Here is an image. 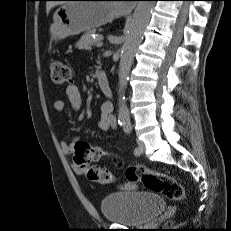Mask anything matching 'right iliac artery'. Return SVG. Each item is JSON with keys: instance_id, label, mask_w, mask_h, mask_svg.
Instances as JSON below:
<instances>
[{"instance_id": "82829eb1", "label": "right iliac artery", "mask_w": 231, "mask_h": 231, "mask_svg": "<svg viewBox=\"0 0 231 231\" xmlns=\"http://www.w3.org/2000/svg\"><path fill=\"white\" fill-rule=\"evenodd\" d=\"M124 121H119V124L122 126V125H124Z\"/></svg>"}]
</instances>
